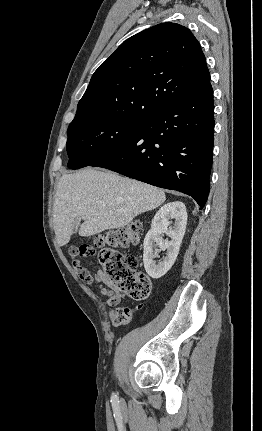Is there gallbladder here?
Listing matches in <instances>:
<instances>
[{"label": "gallbladder", "mask_w": 262, "mask_h": 431, "mask_svg": "<svg viewBox=\"0 0 262 431\" xmlns=\"http://www.w3.org/2000/svg\"><path fill=\"white\" fill-rule=\"evenodd\" d=\"M80 218L76 217L73 221L72 234H76L80 224Z\"/></svg>", "instance_id": "1"}]
</instances>
